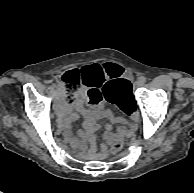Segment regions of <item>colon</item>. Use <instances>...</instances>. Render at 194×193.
<instances>
[{"instance_id": "5ec220e1", "label": "colon", "mask_w": 194, "mask_h": 193, "mask_svg": "<svg viewBox=\"0 0 194 193\" xmlns=\"http://www.w3.org/2000/svg\"><path fill=\"white\" fill-rule=\"evenodd\" d=\"M61 84L64 87L66 100L71 103L77 94L79 93L83 85V75L78 70H70L65 72L59 77ZM129 82L123 78H119L110 82L105 89V97L111 101H114L117 92L120 89H128ZM132 113V111H130ZM125 134L121 133L117 136L114 142L111 144L110 152L118 153L123 149Z\"/></svg>"}]
</instances>
